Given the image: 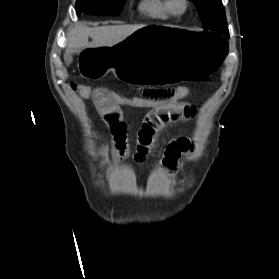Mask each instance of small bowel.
<instances>
[{
	"label": "small bowel",
	"instance_id": "c3829d8e",
	"mask_svg": "<svg viewBox=\"0 0 279 279\" xmlns=\"http://www.w3.org/2000/svg\"><path fill=\"white\" fill-rule=\"evenodd\" d=\"M165 89H141V95L159 96ZM95 107L105 124L109 127L113 139L112 155L116 160L126 159L130 154L127 137V126L123 120L121 107L112 102L103 89H97L92 95ZM196 115L194 105L179 101L162 103L152 107L145 115L137 135L134 160L144 163L154 145L157 133L167 124L178 121H188ZM193 150L192 142L185 138H178L168 144L162 159L163 166L171 175H174L179 159Z\"/></svg>",
	"mask_w": 279,
	"mask_h": 279
}]
</instances>
